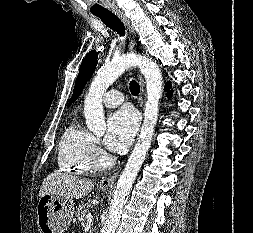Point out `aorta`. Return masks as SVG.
Here are the masks:
<instances>
[{"instance_id":"obj_1","label":"aorta","mask_w":253,"mask_h":233,"mask_svg":"<svg viewBox=\"0 0 253 233\" xmlns=\"http://www.w3.org/2000/svg\"><path fill=\"white\" fill-rule=\"evenodd\" d=\"M133 66L139 67L146 79L147 101L144 109V120L136 145L117 182L109 215L102 233H115L120 223L122 208L150 148L158 118L159 100L163 91L161 71L156 63L145 56L124 55L111 63L105 64L98 70L84 101V116L87 127L95 134L104 133L106 122L102 105L103 95L126 69Z\"/></svg>"}]
</instances>
